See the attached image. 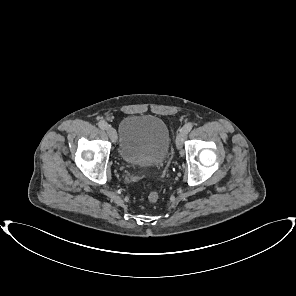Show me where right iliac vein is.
<instances>
[{
    "label": "right iliac vein",
    "mask_w": 296,
    "mask_h": 296,
    "mask_svg": "<svg viewBox=\"0 0 296 296\" xmlns=\"http://www.w3.org/2000/svg\"><path fill=\"white\" fill-rule=\"evenodd\" d=\"M107 133L110 137V139L112 140V142H116L117 141V133L116 130L113 127H108L107 128Z\"/></svg>",
    "instance_id": "63e3f726"
}]
</instances>
